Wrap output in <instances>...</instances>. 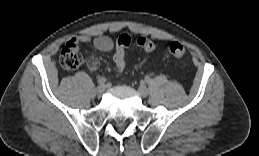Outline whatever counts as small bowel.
Instances as JSON below:
<instances>
[{
	"label": "small bowel",
	"mask_w": 259,
	"mask_h": 156,
	"mask_svg": "<svg viewBox=\"0 0 259 156\" xmlns=\"http://www.w3.org/2000/svg\"><path fill=\"white\" fill-rule=\"evenodd\" d=\"M93 43V45L95 46V48H97L100 51L103 52H109L114 48V41L113 39H111L108 36L105 35H101V36H97L95 37L93 40L86 35H78L75 36L73 38H71L68 42L67 45L73 46L75 48H77L78 45L83 44V45H87ZM99 66V62L96 58H90L88 61V68L91 71H95L97 70Z\"/></svg>",
	"instance_id": "small-bowel-1"
}]
</instances>
